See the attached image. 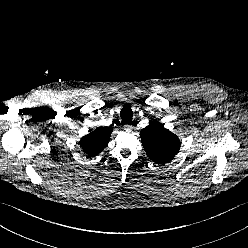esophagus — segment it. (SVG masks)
<instances>
[{
    "label": "esophagus",
    "instance_id": "obj_1",
    "mask_svg": "<svg viewBox=\"0 0 248 248\" xmlns=\"http://www.w3.org/2000/svg\"><path fill=\"white\" fill-rule=\"evenodd\" d=\"M132 129H133L132 125H129V124L124 125V130H125V131L131 132Z\"/></svg>",
    "mask_w": 248,
    "mask_h": 248
}]
</instances>
